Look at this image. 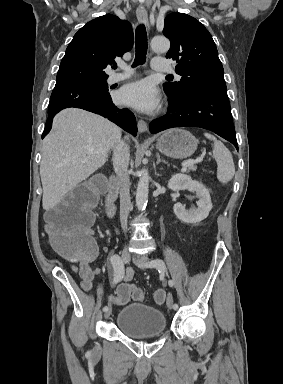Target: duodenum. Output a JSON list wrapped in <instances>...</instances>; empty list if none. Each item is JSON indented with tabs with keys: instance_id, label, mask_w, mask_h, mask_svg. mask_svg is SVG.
Instances as JSON below:
<instances>
[{
	"instance_id": "1",
	"label": "duodenum",
	"mask_w": 283,
	"mask_h": 384,
	"mask_svg": "<svg viewBox=\"0 0 283 384\" xmlns=\"http://www.w3.org/2000/svg\"><path fill=\"white\" fill-rule=\"evenodd\" d=\"M119 180L117 177H111L109 181V189L106 199V211L110 218H113L117 209Z\"/></svg>"
}]
</instances>
